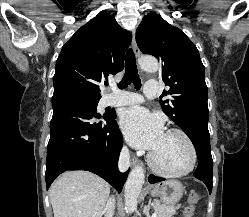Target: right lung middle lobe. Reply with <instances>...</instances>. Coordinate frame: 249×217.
I'll return each instance as SVG.
<instances>
[{"mask_svg":"<svg viewBox=\"0 0 249 217\" xmlns=\"http://www.w3.org/2000/svg\"><path fill=\"white\" fill-rule=\"evenodd\" d=\"M56 96H66V97H71V98H74L76 100H79V101L85 103L94 112H96L97 104L101 98V97H93V96H89L86 94H82L79 92H73V91L63 92V93H60ZM105 114H108V113H105Z\"/></svg>","mask_w":249,"mask_h":217,"instance_id":"1","label":"right lung middle lobe"}]
</instances>
